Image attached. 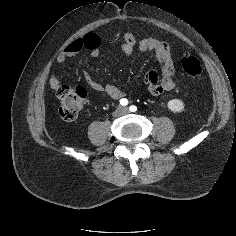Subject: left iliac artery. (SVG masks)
<instances>
[{
    "label": "left iliac artery",
    "instance_id": "44dca946",
    "mask_svg": "<svg viewBox=\"0 0 236 236\" xmlns=\"http://www.w3.org/2000/svg\"><path fill=\"white\" fill-rule=\"evenodd\" d=\"M129 109H130L131 112H135L137 110V107L132 105V106H130Z\"/></svg>",
    "mask_w": 236,
    "mask_h": 236
}]
</instances>
